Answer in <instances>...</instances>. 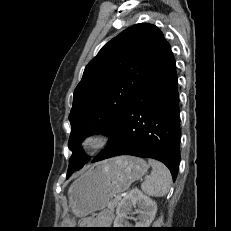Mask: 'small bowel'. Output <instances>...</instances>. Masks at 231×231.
I'll return each instance as SVG.
<instances>
[{
    "mask_svg": "<svg viewBox=\"0 0 231 231\" xmlns=\"http://www.w3.org/2000/svg\"><path fill=\"white\" fill-rule=\"evenodd\" d=\"M114 219V213L110 210L103 211L98 216V227H109ZM97 229H104V228H97ZM98 231H104V230H98Z\"/></svg>",
    "mask_w": 231,
    "mask_h": 231,
    "instance_id": "obj_1",
    "label": "small bowel"
}]
</instances>
